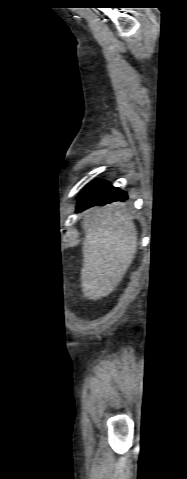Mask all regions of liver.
I'll return each mask as SVG.
<instances>
[{"mask_svg":"<svg viewBox=\"0 0 187 479\" xmlns=\"http://www.w3.org/2000/svg\"><path fill=\"white\" fill-rule=\"evenodd\" d=\"M83 239L82 291L97 300L121 282L137 250V232L119 204L86 211L81 222Z\"/></svg>","mask_w":187,"mask_h":479,"instance_id":"6515ba94","label":"liver"}]
</instances>
